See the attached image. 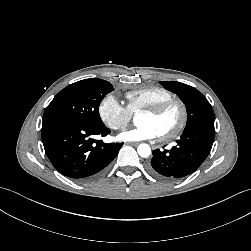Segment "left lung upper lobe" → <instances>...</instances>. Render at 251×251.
I'll use <instances>...</instances> for the list:
<instances>
[{"label":"left lung upper lobe","instance_id":"obj_1","mask_svg":"<svg viewBox=\"0 0 251 251\" xmlns=\"http://www.w3.org/2000/svg\"><path fill=\"white\" fill-rule=\"evenodd\" d=\"M163 87L179 96L187 107V123L184 129L206 126L214 128V112L206 99L197 89L175 81L161 82Z\"/></svg>","mask_w":251,"mask_h":251}]
</instances>
